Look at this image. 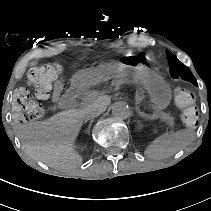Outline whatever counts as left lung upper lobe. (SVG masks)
Segmentation results:
<instances>
[{
	"instance_id": "left-lung-upper-lobe-1",
	"label": "left lung upper lobe",
	"mask_w": 211,
	"mask_h": 211,
	"mask_svg": "<svg viewBox=\"0 0 211 211\" xmlns=\"http://www.w3.org/2000/svg\"><path fill=\"white\" fill-rule=\"evenodd\" d=\"M168 64L170 67V74L173 78H182L194 85H197V81L193 76L190 69L181 63L176 56H174L170 51L166 50Z\"/></svg>"
}]
</instances>
